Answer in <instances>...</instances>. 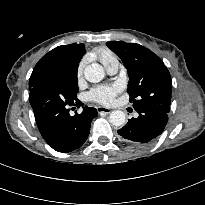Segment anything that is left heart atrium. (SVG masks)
<instances>
[{
	"instance_id": "obj_1",
	"label": "left heart atrium",
	"mask_w": 205,
	"mask_h": 205,
	"mask_svg": "<svg viewBox=\"0 0 205 205\" xmlns=\"http://www.w3.org/2000/svg\"><path fill=\"white\" fill-rule=\"evenodd\" d=\"M119 92L117 86H97L94 87L88 94L89 99L103 105H110L113 103L116 95Z\"/></svg>"
}]
</instances>
